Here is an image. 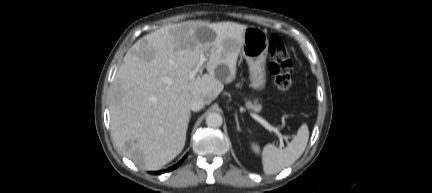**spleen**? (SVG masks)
<instances>
[{
  "instance_id": "3e777b00",
  "label": "spleen",
  "mask_w": 432,
  "mask_h": 193,
  "mask_svg": "<svg viewBox=\"0 0 432 193\" xmlns=\"http://www.w3.org/2000/svg\"><path fill=\"white\" fill-rule=\"evenodd\" d=\"M309 139V130L306 124H303L294 139L284 149L277 148L273 144H267L262 151L263 171L267 175L280 172L286 167L295 163L306 149ZM252 150L255 153L260 152L257 144L253 143Z\"/></svg>"
}]
</instances>
